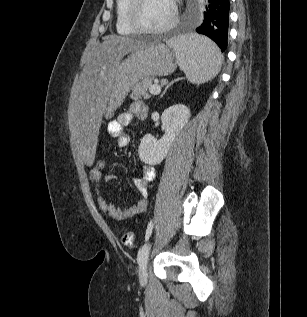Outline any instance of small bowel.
<instances>
[{"label":"small bowel","mask_w":307,"mask_h":317,"mask_svg":"<svg viewBox=\"0 0 307 317\" xmlns=\"http://www.w3.org/2000/svg\"><path fill=\"white\" fill-rule=\"evenodd\" d=\"M146 115V106L141 102H133L128 112L121 113L117 119L109 122L107 126L108 134L117 139L119 147H126L130 142V138L124 131V127L129 125L133 118L143 120ZM155 175L156 172L153 167L144 166L142 168L140 176L134 180V185L139 192L140 198L136 201V203L125 209H119L108 202L100 191L101 182H111L116 178L114 174H103V172L93 168L89 173V178L97 195V202L100 211L108 215L113 220L124 221L146 211L148 206L147 187L148 184L154 180Z\"/></svg>","instance_id":"c3829d8e"}]
</instances>
